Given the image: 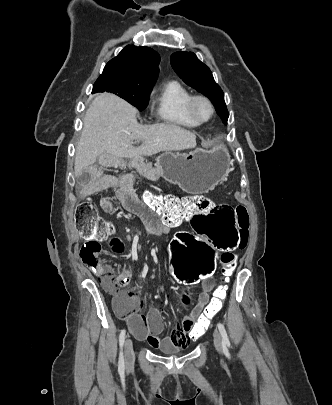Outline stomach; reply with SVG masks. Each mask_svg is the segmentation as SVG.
I'll list each match as a JSON object with an SVG mask.
<instances>
[{
    "instance_id": "stomach-1",
    "label": "stomach",
    "mask_w": 332,
    "mask_h": 405,
    "mask_svg": "<svg viewBox=\"0 0 332 405\" xmlns=\"http://www.w3.org/2000/svg\"><path fill=\"white\" fill-rule=\"evenodd\" d=\"M230 156L223 146L211 152H164L156 158L155 170L190 194L205 193L217 186L230 169Z\"/></svg>"
}]
</instances>
